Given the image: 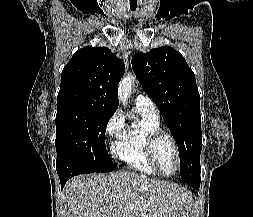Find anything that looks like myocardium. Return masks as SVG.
Masks as SVG:
<instances>
[{
	"label": "myocardium",
	"mask_w": 253,
	"mask_h": 217,
	"mask_svg": "<svg viewBox=\"0 0 253 217\" xmlns=\"http://www.w3.org/2000/svg\"><path fill=\"white\" fill-rule=\"evenodd\" d=\"M163 138H166L170 141V143L173 146L175 156H176V169L171 174H166L162 171L160 164L158 162L157 156H156V146H157L158 142ZM145 148H146V153L149 158V161L152 163V165L155 167V169L157 170V172L161 176L171 177L179 171L180 165H181L180 150H179V146H178L176 139L170 133L163 131V130H157V131L151 133L147 137V140L145 143Z\"/></svg>",
	"instance_id": "obj_1"
}]
</instances>
